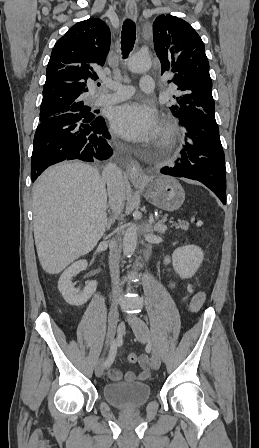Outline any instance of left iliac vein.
<instances>
[{
	"label": "left iliac vein",
	"instance_id": "obj_1",
	"mask_svg": "<svg viewBox=\"0 0 259 448\" xmlns=\"http://www.w3.org/2000/svg\"><path fill=\"white\" fill-rule=\"evenodd\" d=\"M126 318L138 341L148 343L151 346L152 366L155 370H158L161 365L160 354L153 341L152 335L150 333L147 324L140 317L136 315H127Z\"/></svg>",
	"mask_w": 259,
	"mask_h": 448
}]
</instances>
